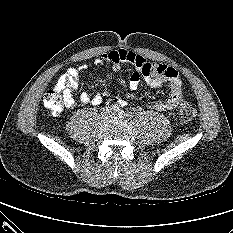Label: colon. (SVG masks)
Wrapping results in <instances>:
<instances>
[{"mask_svg": "<svg viewBox=\"0 0 233 233\" xmlns=\"http://www.w3.org/2000/svg\"><path fill=\"white\" fill-rule=\"evenodd\" d=\"M66 103V99L55 87L48 90L43 98L44 106L54 115L60 114ZM195 114L196 110L189 102H182L177 110V116L183 122L192 120Z\"/></svg>", "mask_w": 233, "mask_h": 233, "instance_id": "obj_1", "label": "colon"}]
</instances>
